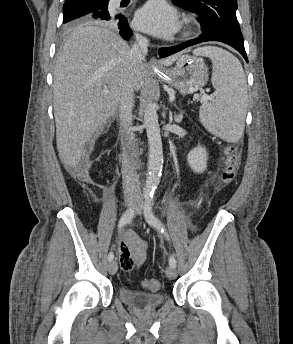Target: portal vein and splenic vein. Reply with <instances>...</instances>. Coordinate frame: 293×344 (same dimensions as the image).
Segmentation results:
<instances>
[{
	"label": "portal vein and splenic vein",
	"instance_id": "obj_1",
	"mask_svg": "<svg viewBox=\"0 0 293 344\" xmlns=\"http://www.w3.org/2000/svg\"><path fill=\"white\" fill-rule=\"evenodd\" d=\"M104 92L105 93H108V90L107 89H104ZM199 96L198 95H195L194 98L197 99ZM170 99L173 100L174 99V95H171L170 96ZM210 99V96H208L207 94H204L201 96V102H205L207 100Z\"/></svg>",
	"mask_w": 293,
	"mask_h": 344
}]
</instances>
